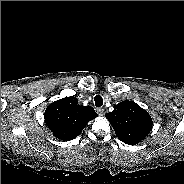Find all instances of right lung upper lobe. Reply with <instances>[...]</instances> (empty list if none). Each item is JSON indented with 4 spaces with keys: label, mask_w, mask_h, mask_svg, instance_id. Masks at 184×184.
<instances>
[{
    "label": "right lung upper lobe",
    "mask_w": 184,
    "mask_h": 184,
    "mask_svg": "<svg viewBox=\"0 0 184 184\" xmlns=\"http://www.w3.org/2000/svg\"><path fill=\"white\" fill-rule=\"evenodd\" d=\"M97 113L91 106L78 104L74 96L51 103L45 111V122L53 135L69 141L77 137Z\"/></svg>",
    "instance_id": "cb5924a9"
}]
</instances>
